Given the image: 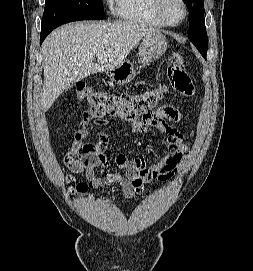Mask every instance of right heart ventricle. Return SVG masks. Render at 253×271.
<instances>
[{
    "instance_id": "right-heart-ventricle-1",
    "label": "right heart ventricle",
    "mask_w": 253,
    "mask_h": 271,
    "mask_svg": "<svg viewBox=\"0 0 253 271\" xmlns=\"http://www.w3.org/2000/svg\"><path fill=\"white\" fill-rule=\"evenodd\" d=\"M116 14L123 20L153 28L166 25L154 10V0H113Z\"/></svg>"
}]
</instances>
